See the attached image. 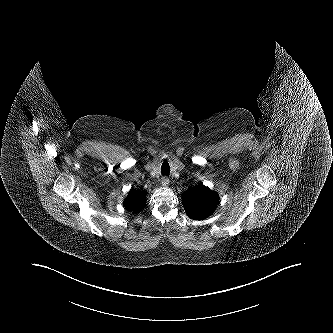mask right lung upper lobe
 Here are the masks:
<instances>
[{
    "label": "right lung upper lobe",
    "mask_w": 333,
    "mask_h": 333,
    "mask_svg": "<svg viewBox=\"0 0 333 333\" xmlns=\"http://www.w3.org/2000/svg\"><path fill=\"white\" fill-rule=\"evenodd\" d=\"M146 203V193L144 191H130L124 201L126 209L136 213L141 210Z\"/></svg>",
    "instance_id": "cb5924a9"
}]
</instances>
